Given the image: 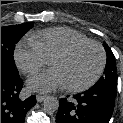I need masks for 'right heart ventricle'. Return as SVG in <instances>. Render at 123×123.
<instances>
[{
    "instance_id": "e07e8e85",
    "label": "right heart ventricle",
    "mask_w": 123,
    "mask_h": 123,
    "mask_svg": "<svg viewBox=\"0 0 123 123\" xmlns=\"http://www.w3.org/2000/svg\"><path fill=\"white\" fill-rule=\"evenodd\" d=\"M29 40L39 48L47 60L78 41L89 40L83 33L69 27H53L34 33Z\"/></svg>"
}]
</instances>
